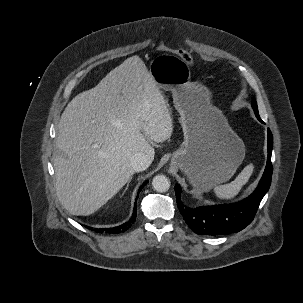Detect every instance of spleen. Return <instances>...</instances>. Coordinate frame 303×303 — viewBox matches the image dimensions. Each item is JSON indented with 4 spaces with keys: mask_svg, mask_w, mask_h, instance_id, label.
Segmentation results:
<instances>
[{
    "mask_svg": "<svg viewBox=\"0 0 303 303\" xmlns=\"http://www.w3.org/2000/svg\"><path fill=\"white\" fill-rule=\"evenodd\" d=\"M253 169V164H249L242 170L234 181L229 184L216 186L214 188L215 195L219 199L223 200H230L234 198L240 192L242 187L248 182L253 173Z\"/></svg>",
    "mask_w": 303,
    "mask_h": 303,
    "instance_id": "3e777b00",
    "label": "spleen"
}]
</instances>
